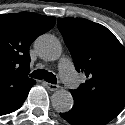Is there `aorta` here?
Wrapping results in <instances>:
<instances>
[{
	"label": "aorta",
	"instance_id": "1",
	"mask_svg": "<svg viewBox=\"0 0 125 125\" xmlns=\"http://www.w3.org/2000/svg\"><path fill=\"white\" fill-rule=\"evenodd\" d=\"M35 48L39 56L46 61L58 60L62 54L61 43L52 35L44 34L35 41ZM53 108L61 113L68 112L73 106V97L65 89L55 91L51 97Z\"/></svg>",
	"mask_w": 125,
	"mask_h": 125
}]
</instances>
